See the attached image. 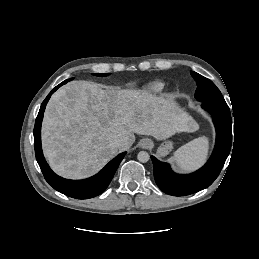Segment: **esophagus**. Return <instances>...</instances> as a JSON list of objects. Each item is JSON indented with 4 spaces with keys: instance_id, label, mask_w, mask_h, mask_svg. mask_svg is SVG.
Here are the masks:
<instances>
[{
    "instance_id": "obj_1",
    "label": "esophagus",
    "mask_w": 259,
    "mask_h": 259,
    "mask_svg": "<svg viewBox=\"0 0 259 259\" xmlns=\"http://www.w3.org/2000/svg\"><path fill=\"white\" fill-rule=\"evenodd\" d=\"M140 146L143 149H149V148L152 147V141L150 139H147V138L146 139H142L140 141Z\"/></svg>"
}]
</instances>
